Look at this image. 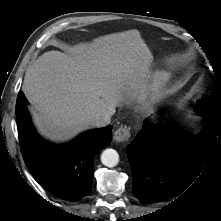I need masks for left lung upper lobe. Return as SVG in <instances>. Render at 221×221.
Returning <instances> with one entry per match:
<instances>
[{
  "label": "left lung upper lobe",
  "mask_w": 221,
  "mask_h": 221,
  "mask_svg": "<svg viewBox=\"0 0 221 221\" xmlns=\"http://www.w3.org/2000/svg\"><path fill=\"white\" fill-rule=\"evenodd\" d=\"M196 111L206 116H221V93L214 92L211 96L200 100Z\"/></svg>",
  "instance_id": "1"
}]
</instances>
